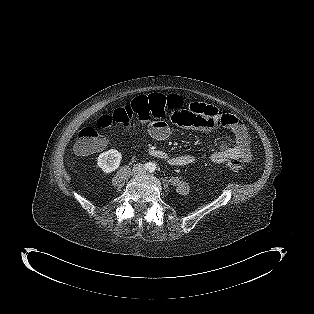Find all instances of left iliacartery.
<instances>
[{
    "label": "left iliac artery",
    "instance_id": "obj_1",
    "mask_svg": "<svg viewBox=\"0 0 314 314\" xmlns=\"http://www.w3.org/2000/svg\"><path fill=\"white\" fill-rule=\"evenodd\" d=\"M154 170H155V168H154V167H151V168L149 169V172L152 173V172H154Z\"/></svg>",
    "mask_w": 314,
    "mask_h": 314
}]
</instances>
